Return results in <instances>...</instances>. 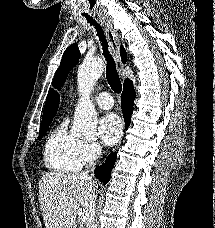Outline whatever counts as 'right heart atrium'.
<instances>
[{
  "label": "right heart atrium",
  "mask_w": 215,
  "mask_h": 228,
  "mask_svg": "<svg viewBox=\"0 0 215 228\" xmlns=\"http://www.w3.org/2000/svg\"><path fill=\"white\" fill-rule=\"evenodd\" d=\"M102 147L95 142H84L81 148L82 161L91 163L98 160L102 155Z\"/></svg>",
  "instance_id": "obj_1"
}]
</instances>
